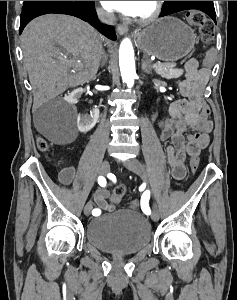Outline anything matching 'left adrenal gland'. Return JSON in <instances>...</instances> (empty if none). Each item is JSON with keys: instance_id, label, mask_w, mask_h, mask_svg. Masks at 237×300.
Listing matches in <instances>:
<instances>
[{"instance_id": "1", "label": "left adrenal gland", "mask_w": 237, "mask_h": 300, "mask_svg": "<svg viewBox=\"0 0 237 300\" xmlns=\"http://www.w3.org/2000/svg\"><path fill=\"white\" fill-rule=\"evenodd\" d=\"M141 63H142L141 69H143V73H147V75H150V71H151L152 67H150L151 63H150L147 55H144Z\"/></svg>"}]
</instances>
